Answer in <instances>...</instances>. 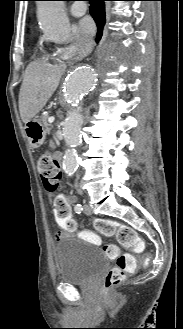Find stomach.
<instances>
[{
    "label": "stomach",
    "mask_w": 183,
    "mask_h": 329,
    "mask_svg": "<svg viewBox=\"0 0 183 329\" xmlns=\"http://www.w3.org/2000/svg\"><path fill=\"white\" fill-rule=\"evenodd\" d=\"M25 134L27 136L29 145L32 148L40 147L46 137V130L41 120L37 117L32 118L28 122L25 123Z\"/></svg>",
    "instance_id": "1"
}]
</instances>
